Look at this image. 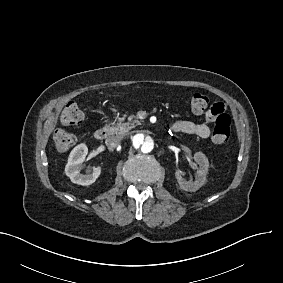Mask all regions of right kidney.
Segmentation results:
<instances>
[{
	"label": "right kidney",
	"instance_id": "obj_1",
	"mask_svg": "<svg viewBox=\"0 0 283 283\" xmlns=\"http://www.w3.org/2000/svg\"><path fill=\"white\" fill-rule=\"evenodd\" d=\"M88 153V149L85 144H79L70 153L68 163L65 167V173L70 180L77 185H91L101 175L102 167L97 165L96 168L88 174H80L79 170L84 162V159Z\"/></svg>",
	"mask_w": 283,
	"mask_h": 283
}]
</instances>
